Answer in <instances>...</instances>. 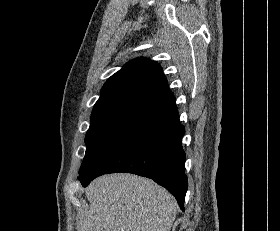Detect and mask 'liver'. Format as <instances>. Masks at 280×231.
I'll return each instance as SVG.
<instances>
[{"mask_svg": "<svg viewBox=\"0 0 280 231\" xmlns=\"http://www.w3.org/2000/svg\"><path fill=\"white\" fill-rule=\"evenodd\" d=\"M89 209L78 211L79 231H170L176 201L152 179L110 173L85 189Z\"/></svg>", "mask_w": 280, "mask_h": 231, "instance_id": "liver-1", "label": "liver"}]
</instances>
